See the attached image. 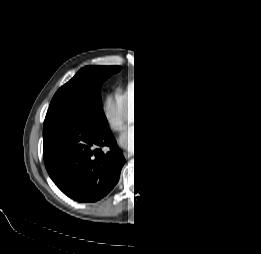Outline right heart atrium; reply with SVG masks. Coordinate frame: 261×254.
<instances>
[{
	"label": "right heart atrium",
	"instance_id": "d8ad5b80",
	"mask_svg": "<svg viewBox=\"0 0 261 254\" xmlns=\"http://www.w3.org/2000/svg\"><path fill=\"white\" fill-rule=\"evenodd\" d=\"M106 114L110 127L115 131H123L136 117L124 95H117L108 100Z\"/></svg>",
	"mask_w": 261,
	"mask_h": 254
}]
</instances>
